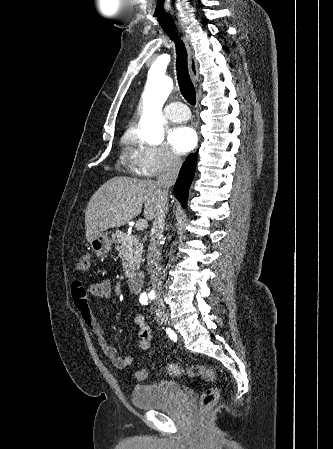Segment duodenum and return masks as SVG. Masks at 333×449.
<instances>
[{
  "label": "duodenum",
  "instance_id": "410a0bca",
  "mask_svg": "<svg viewBox=\"0 0 333 449\" xmlns=\"http://www.w3.org/2000/svg\"><path fill=\"white\" fill-rule=\"evenodd\" d=\"M144 275L142 272H134L128 276L127 285L132 293H139L143 286Z\"/></svg>",
  "mask_w": 333,
  "mask_h": 449
}]
</instances>
